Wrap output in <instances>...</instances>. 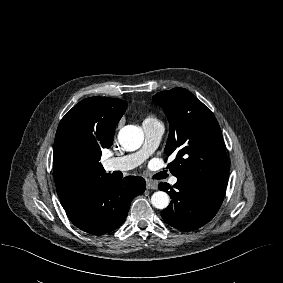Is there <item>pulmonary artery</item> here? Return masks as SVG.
I'll list each match as a JSON object with an SVG mask.
<instances>
[{
	"label": "pulmonary artery",
	"instance_id": "e3ab8cb5",
	"mask_svg": "<svg viewBox=\"0 0 283 283\" xmlns=\"http://www.w3.org/2000/svg\"><path fill=\"white\" fill-rule=\"evenodd\" d=\"M144 133V143L140 150L135 153L109 158L104 162V168L106 171H129L141 163L152 154L159 146L162 135L164 133V126L159 121H144L142 124ZM177 179L172 178L171 182L175 183Z\"/></svg>",
	"mask_w": 283,
	"mask_h": 283
}]
</instances>
